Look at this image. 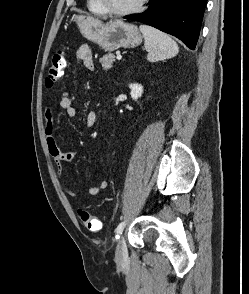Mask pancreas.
<instances>
[{
    "label": "pancreas",
    "instance_id": "pancreas-1",
    "mask_svg": "<svg viewBox=\"0 0 249 294\" xmlns=\"http://www.w3.org/2000/svg\"><path fill=\"white\" fill-rule=\"evenodd\" d=\"M115 56L113 53H108L104 55L101 59L100 62L102 64V68L104 70H109L112 67L113 61H115Z\"/></svg>",
    "mask_w": 249,
    "mask_h": 294
}]
</instances>
